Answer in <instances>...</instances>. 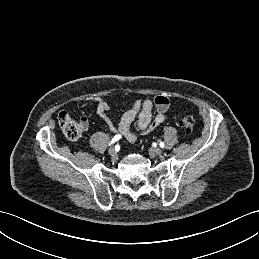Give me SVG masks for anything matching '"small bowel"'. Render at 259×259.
<instances>
[{"label": "small bowel", "instance_id": "1", "mask_svg": "<svg viewBox=\"0 0 259 259\" xmlns=\"http://www.w3.org/2000/svg\"><path fill=\"white\" fill-rule=\"evenodd\" d=\"M89 102L96 104V113L112 132L121 133L131 143L137 139L136 133L131 131V125L135 120L137 132L151 131L166 120V111L170 105L169 98L164 95L156 96L154 100H137L124 112L116 125L107 115L109 110L107 101L101 97H95ZM153 110L156 111L155 115H153ZM80 125L84 130L89 128L87 117H81Z\"/></svg>", "mask_w": 259, "mask_h": 259}]
</instances>
